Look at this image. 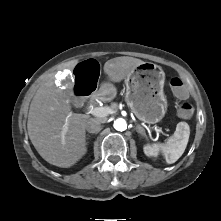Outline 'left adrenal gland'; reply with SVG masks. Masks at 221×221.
Listing matches in <instances>:
<instances>
[{
  "mask_svg": "<svg viewBox=\"0 0 221 221\" xmlns=\"http://www.w3.org/2000/svg\"><path fill=\"white\" fill-rule=\"evenodd\" d=\"M136 130H137V132H138L140 135H142V136H144L145 138H147L146 132H145V130H144V128H143L142 126L137 125V126H136Z\"/></svg>",
  "mask_w": 221,
  "mask_h": 221,
  "instance_id": "1",
  "label": "left adrenal gland"
}]
</instances>
